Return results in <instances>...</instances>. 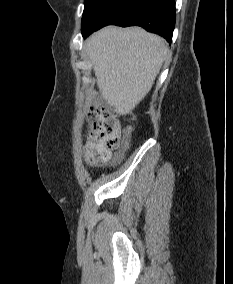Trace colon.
Returning a JSON list of instances; mask_svg holds the SVG:
<instances>
[{"mask_svg":"<svg viewBox=\"0 0 233 284\" xmlns=\"http://www.w3.org/2000/svg\"><path fill=\"white\" fill-rule=\"evenodd\" d=\"M89 135L85 147L89 163L107 162L119 145L118 126L102 106H94L89 113Z\"/></svg>","mask_w":233,"mask_h":284,"instance_id":"colon-1","label":"colon"}]
</instances>
